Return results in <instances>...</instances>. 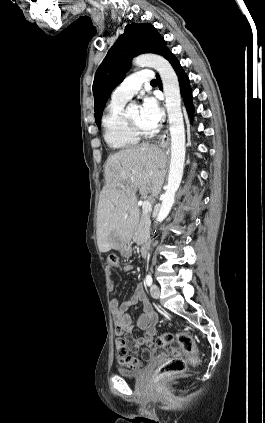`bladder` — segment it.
Here are the masks:
<instances>
[{
	"mask_svg": "<svg viewBox=\"0 0 265 423\" xmlns=\"http://www.w3.org/2000/svg\"><path fill=\"white\" fill-rule=\"evenodd\" d=\"M146 367L138 368V369H128L120 367L118 368V374L123 377L129 378H139L142 377L146 371Z\"/></svg>",
	"mask_w": 265,
	"mask_h": 423,
	"instance_id": "obj_1",
	"label": "bladder"
}]
</instances>
